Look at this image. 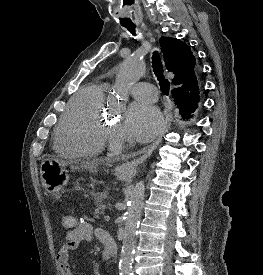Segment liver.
Segmentation results:
<instances>
[{
	"instance_id": "6515ba94",
	"label": "liver",
	"mask_w": 263,
	"mask_h": 275,
	"mask_svg": "<svg viewBox=\"0 0 263 275\" xmlns=\"http://www.w3.org/2000/svg\"><path fill=\"white\" fill-rule=\"evenodd\" d=\"M97 162L95 161H92V162H86V163H83L81 165L82 168H85V169H89V170H92L95 168Z\"/></svg>"
}]
</instances>
